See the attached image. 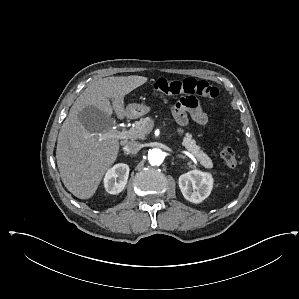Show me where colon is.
I'll return each mask as SVG.
<instances>
[{"label": "colon", "mask_w": 299, "mask_h": 299, "mask_svg": "<svg viewBox=\"0 0 299 299\" xmlns=\"http://www.w3.org/2000/svg\"><path fill=\"white\" fill-rule=\"evenodd\" d=\"M154 91L165 95H183V97L201 96L211 100L218 97L219 91L216 87L203 80L186 78L183 80H168L165 78L157 79L152 85ZM221 157L226 164L235 168L238 159L234 149L224 146L221 150Z\"/></svg>", "instance_id": "colon-1"}]
</instances>
